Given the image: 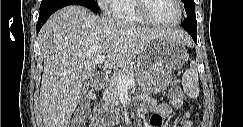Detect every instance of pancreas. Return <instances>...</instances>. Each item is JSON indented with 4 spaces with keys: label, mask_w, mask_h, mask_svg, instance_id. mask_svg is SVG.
Segmentation results:
<instances>
[{
    "label": "pancreas",
    "mask_w": 243,
    "mask_h": 127,
    "mask_svg": "<svg viewBox=\"0 0 243 127\" xmlns=\"http://www.w3.org/2000/svg\"><path fill=\"white\" fill-rule=\"evenodd\" d=\"M119 75L124 76L125 79L134 78L136 77V69L133 66H127L116 72L111 77L109 84L106 86L103 92L105 106L109 107L110 111L114 110V106L119 105L120 86L117 82V77Z\"/></svg>",
    "instance_id": "cf45deb5"
}]
</instances>
